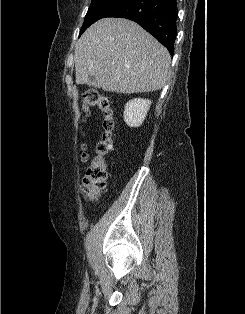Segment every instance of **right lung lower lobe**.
Returning <instances> with one entry per match:
<instances>
[{
	"mask_svg": "<svg viewBox=\"0 0 245 314\" xmlns=\"http://www.w3.org/2000/svg\"><path fill=\"white\" fill-rule=\"evenodd\" d=\"M177 14L176 0H126L105 17L127 18L138 23L173 55Z\"/></svg>",
	"mask_w": 245,
	"mask_h": 314,
	"instance_id": "right-lung-lower-lobe-1",
	"label": "right lung lower lobe"
}]
</instances>
